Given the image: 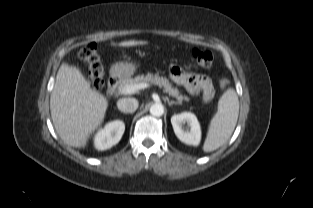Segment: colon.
Wrapping results in <instances>:
<instances>
[{
    "instance_id": "colon-1",
    "label": "colon",
    "mask_w": 313,
    "mask_h": 208,
    "mask_svg": "<svg viewBox=\"0 0 313 208\" xmlns=\"http://www.w3.org/2000/svg\"><path fill=\"white\" fill-rule=\"evenodd\" d=\"M193 60L202 68H209L212 65L213 56L209 51L194 49L191 53ZM79 57L84 60L89 67V76L91 83L96 89L104 85V68L101 57L98 53L97 45L89 43L79 51ZM229 84L226 76L219 78V86L225 87Z\"/></svg>"
}]
</instances>
